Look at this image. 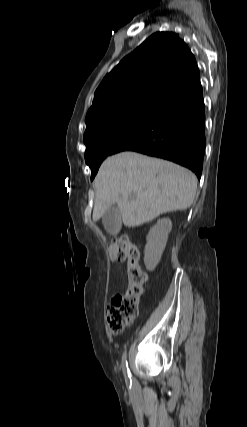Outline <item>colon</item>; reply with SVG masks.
<instances>
[{
  "label": "colon",
  "mask_w": 247,
  "mask_h": 427,
  "mask_svg": "<svg viewBox=\"0 0 247 427\" xmlns=\"http://www.w3.org/2000/svg\"><path fill=\"white\" fill-rule=\"evenodd\" d=\"M110 257L114 261L127 260V290L115 295L108 307V322L113 333H121L138 314L141 296L145 292L147 273L141 267V251L127 236L121 235L109 244Z\"/></svg>",
  "instance_id": "obj_1"
}]
</instances>
